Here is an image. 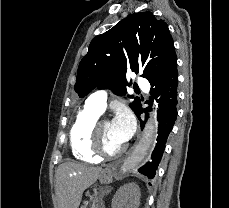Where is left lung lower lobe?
I'll return each instance as SVG.
<instances>
[{"label":"left lung lower lobe","mask_w":229,"mask_h":208,"mask_svg":"<svg viewBox=\"0 0 229 208\" xmlns=\"http://www.w3.org/2000/svg\"><path fill=\"white\" fill-rule=\"evenodd\" d=\"M152 100L156 99L158 104V137L156 146L152 152L150 161L144 166L139 168V172L152 179L155 176L156 168L158 167L162 158L165 144L168 135L172 131L173 125L177 118V87H178V72H177V61L173 63L167 75L159 82L151 84ZM154 87V88H153ZM150 104L151 101H146ZM149 108L142 109V104L135 112L137 117L140 119V114L145 113L147 119ZM144 122H141L143 128Z\"/></svg>","instance_id":"0a47b994"}]
</instances>
